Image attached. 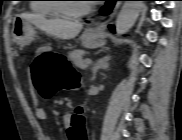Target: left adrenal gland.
Returning <instances> with one entry per match:
<instances>
[{"mask_svg":"<svg viewBox=\"0 0 182 140\" xmlns=\"http://www.w3.org/2000/svg\"><path fill=\"white\" fill-rule=\"evenodd\" d=\"M110 57L99 59L92 65V80L96 79V74L100 69H107L109 67Z\"/></svg>","mask_w":182,"mask_h":140,"instance_id":"1","label":"left adrenal gland"}]
</instances>
